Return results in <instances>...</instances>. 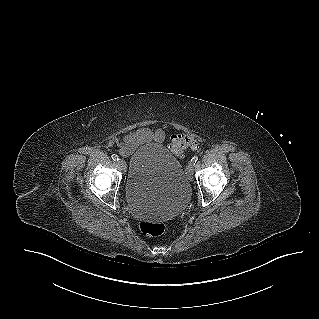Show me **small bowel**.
Wrapping results in <instances>:
<instances>
[{
    "mask_svg": "<svg viewBox=\"0 0 319 319\" xmlns=\"http://www.w3.org/2000/svg\"><path fill=\"white\" fill-rule=\"evenodd\" d=\"M185 130L190 133L188 129ZM165 137V132L162 129L139 128L123 138L119 145V152L123 156H129L139 146L149 142L161 143L165 140Z\"/></svg>",
    "mask_w": 319,
    "mask_h": 319,
    "instance_id": "obj_1",
    "label": "small bowel"
}]
</instances>
